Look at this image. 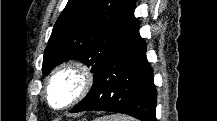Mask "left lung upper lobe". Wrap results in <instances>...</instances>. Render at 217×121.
Wrapping results in <instances>:
<instances>
[{
	"label": "left lung upper lobe",
	"mask_w": 217,
	"mask_h": 121,
	"mask_svg": "<svg viewBox=\"0 0 217 121\" xmlns=\"http://www.w3.org/2000/svg\"><path fill=\"white\" fill-rule=\"evenodd\" d=\"M134 8V0H69L45 49L43 74L76 59L91 66L95 77L134 24Z\"/></svg>",
	"instance_id": "left-lung-upper-lobe-1"
}]
</instances>
